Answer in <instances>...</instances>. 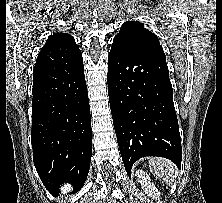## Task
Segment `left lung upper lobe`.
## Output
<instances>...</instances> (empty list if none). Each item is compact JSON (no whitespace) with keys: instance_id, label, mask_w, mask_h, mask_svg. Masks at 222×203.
<instances>
[{"instance_id":"left-lung-upper-lobe-1","label":"left lung upper lobe","mask_w":222,"mask_h":203,"mask_svg":"<svg viewBox=\"0 0 222 203\" xmlns=\"http://www.w3.org/2000/svg\"><path fill=\"white\" fill-rule=\"evenodd\" d=\"M116 41L126 42H141L144 45L151 46L154 49L164 54V51L159 43V39L151 31L144 28V25L139 22L128 21L125 22L120 32L115 36Z\"/></svg>"}]
</instances>
